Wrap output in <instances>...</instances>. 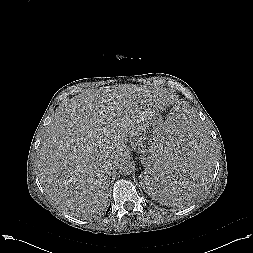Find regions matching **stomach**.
Returning a JSON list of instances; mask_svg holds the SVG:
<instances>
[{
    "mask_svg": "<svg viewBox=\"0 0 253 253\" xmlns=\"http://www.w3.org/2000/svg\"><path fill=\"white\" fill-rule=\"evenodd\" d=\"M163 119L161 116H156L153 118L145 127L144 131L139 134L134 142L132 147L139 153L144 154L145 158L152 151V146L155 139L163 132Z\"/></svg>",
    "mask_w": 253,
    "mask_h": 253,
    "instance_id": "0dacf381",
    "label": "stomach"
}]
</instances>
